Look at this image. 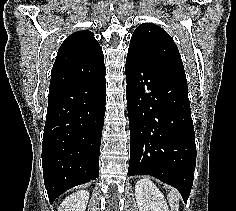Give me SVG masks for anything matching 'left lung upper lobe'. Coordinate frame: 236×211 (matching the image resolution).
Listing matches in <instances>:
<instances>
[{
	"mask_svg": "<svg viewBox=\"0 0 236 211\" xmlns=\"http://www.w3.org/2000/svg\"><path fill=\"white\" fill-rule=\"evenodd\" d=\"M127 56L186 79L176 44L164 29L155 24L144 23L135 29Z\"/></svg>",
	"mask_w": 236,
	"mask_h": 211,
	"instance_id": "obj_1",
	"label": "left lung upper lobe"
}]
</instances>
